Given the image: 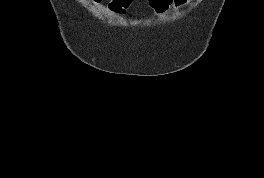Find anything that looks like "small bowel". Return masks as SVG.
<instances>
[{
	"label": "small bowel",
	"mask_w": 264,
	"mask_h": 178,
	"mask_svg": "<svg viewBox=\"0 0 264 178\" xmlns=\"http://www.w3.org/2000/svg\"><path fill=\"white\" fill-rule=\"evenodd\" d=\"M93 5H99L101 4L104 0H89ZM133 1V0H132ZM170 7H174L175 9H180L184 6H186L189 2L192 0H171ZM132 4V2H131ZM130 4V5H131ZM130 7V6H129Z\"/></svg>",
	"instance_id": "small-bowel-1"
}]
</instances>
